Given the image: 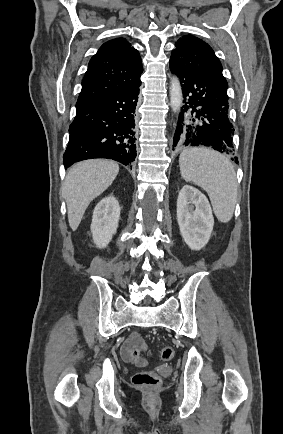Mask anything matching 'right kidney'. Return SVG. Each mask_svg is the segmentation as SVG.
Wrapping results in <instances>:
<instances>
[{"mask_svg":"<svg viewBox=\"0 0 283 434\" xmlns=\"http://www.w3.org/2000/svg\"><path fill=\"white\" fill-rule=\"evenodd\" d=\"M121 208L114 196L103 198L95 207L91 233L98 248H105L116 233Z\"/></svg>","mask_w":283,"mask_h":434,"instance_id":"right-kidney-1","label":"right kidney"}]
</instances>
